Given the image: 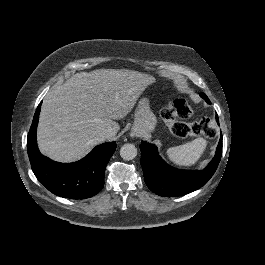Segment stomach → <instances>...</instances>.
Masks as SVG:
<instances>
[{
  "label": "stomach",
  "mask_w": 265,
  "mask_h": 265,
  "mask_svg": "<svg viewBox=\"0 0 265 265\" xmlns=\"http://www.w3.org/2000/svg\"><path fill=\"white\" fill-rule=\"evenodd\" d=\"M158 119L151 109L150 97L144 95L139 99L135 112L132 135L146 138L155 132Z\"/></svg>",
  "instance_id": "0dacf381"
}]
</instances>
